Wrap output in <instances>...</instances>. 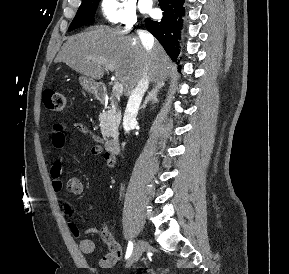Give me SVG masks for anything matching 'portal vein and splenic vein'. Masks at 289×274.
<instances>
[{"label":"portal vein and splenic vein","instance_id":"1","mask_svg":"<svg viewBox=\"0 0 289 274\" xmlns=\"http://www.w3.org/2000/svg\"><path fill=\"white\" fill-rule=\"evenodd\" d=\"M106 69H108L109 71H114L115 67L113 64H107L106 65ZM112 92L115 96H120L123 93V84L120 82H115L112 88Z\"/></svg>","mask_w":289,"mask_h":274}]
</instances>
